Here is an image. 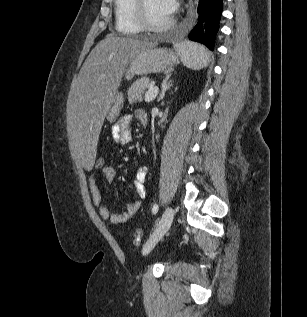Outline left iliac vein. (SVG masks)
<instances>
[{
  "label": "left iliac vein",
  "instance_id": "4c4485c4",
  "mask_svg": "<svg viewBox=\"0 0 307 317\" xmlns=\"http://www.w3.org/2000/svg\"><path fill=\"white\" fill-rule=\"evenodd\" d=\"M174 218V210L171 207L166 208L161 220L159 221L153 234L150 236L144 246V253L149 252L164 236L170 228Z\"/></svg>",
  "mask_w": 307,
  "mask_h": 317
}]
</instances>
